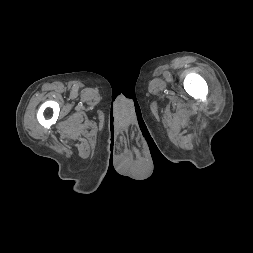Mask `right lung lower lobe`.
Instances as JSON below:
<instances>
[{
	"mask_svg": "<svg viewBox=\"0 0 253 253\" xmlns=\"http://www.w3.org/2000/svg\"><path fill=\"white\" fill-rule=\"evenodd\" d=\"M150 151L153 158H163V155L161 154V152L158 150L156 146H152L150 148Z\"/></svg>",
	"mask_w": 253,
	"mask_h": 253,
	"instance_id": "1",
	"label": "right lung lower lobe"
}]
</instances>
